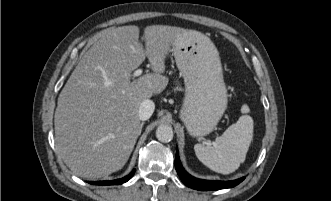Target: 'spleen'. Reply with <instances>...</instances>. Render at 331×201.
Returning a JSON list of instances; mask_svg holds the SVG:
<instances>
[{
  "mask_svg": "<svg viewBox=\"0 0 331 201\" xmlns=\"http://www.w3.org/2000/svg\"><path fill=\"white\" fill-rule=\"evenodd\" d=\"M249 111V107L243 105L241 112L245 115L217 137L213 145H194L197 158L205 166L221 174H230L245 161L253 138V120L246 114Z\"/></svg>",
  "mask_w": 331,
  "mask_h": 201,
  "instance_id": "spleen-1",
  "label": "spleen"
}]
</instances>
